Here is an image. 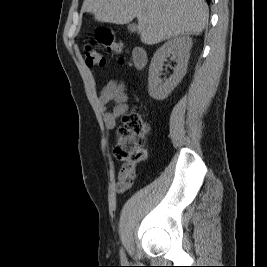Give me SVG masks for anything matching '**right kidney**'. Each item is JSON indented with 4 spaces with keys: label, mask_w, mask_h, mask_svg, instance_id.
Here are the masks:
<instances>
[{
    "label": "right kidney",
    "mask_w": 267,
    "mask_h": 267,
    "mask_svg": "<svg viewBox=\"0 0 267 267\" xmlns=\"http://www.w3.org/2000/svg\"><path fill=\"white\" fill-rule=\"evenodd\" d=\"M192 47L189 36L175 37L163 44L153 55L148 77V93L155 100H164L180 83L187 71V64ZM176 59L177 65L169 79L163 81V65L166 58Z\"/></svg>",
    "instance_id": "1"
}]
</instances>
